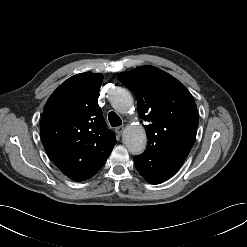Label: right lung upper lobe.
<instances>
[{
    "mask_svg": "<svg viewBox=\"0 0 247 247\" xmlns=\"http://www.w3.org/2000/svg\"><path fill=\"white\" fill-rule=\"evenodd\" d=\"M101 74L74 75L50 96L43 110L40 133L52 162L69 178L103 164L116 144L98 105Z\"/></svg>",
    "mask_w": 247,
    "mask_h": 247,
    "instance_id": "1",
    "label": "right lung upper lobe"
}]
</instances>
